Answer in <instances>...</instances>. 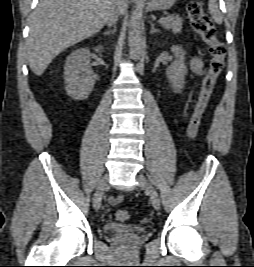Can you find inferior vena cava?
I'll use <instances>...</instances> for the list:
<instances>
[{"label":"inferior vena cava","instance_id":"inferior-vena-cava-1","mask_svg":"<svg viewBox=\"0 0 254 267\" xmlns=\"http://www.w3.org/2000/svg\"><path fill=\"white\" fill-rule=\"evenodd\" d=\"M118 0H115L111 10H110V13L106 19V23L109 27L113 26L117 20H118V17H119V10H118Z\"/></svg>","mask_w":254,"mask_h":267}]
</instances>
